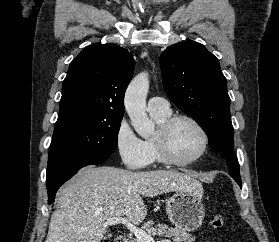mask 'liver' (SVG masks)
Returning a JSON list of instances; mask_svg holds the SVG:
<instances>
[{"instance_id":"liver-1","label":"liver","mask_w":279,"mask_h":242,"mask_svg":"<svg viewBox=\"0 0 279 242\" xmlns=\"http://www.w3.org/2000/svg\"><path fill=\"white\" fill-rule=\"evenodd\" d=\"M201 190L192 175L172 170L84 167L59 189L45 242H100L108 232L103 225L108 219L125 216L134 225L145 219L142 196Z\"/></svg>"}]
</instances>
